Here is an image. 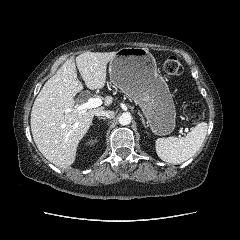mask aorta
I'll list each match as a JSON object with an SVG mask.
<instances>
[{
    "mask_svg": "<svg viewBox=\"0 0 240 240\" xmlns=\"http://www.w3.org/2000/svg\"><path fill=\"white\" fill-rule=\"evenodd\" d=\"M131 120H132L131 114L128 112L123 113L119 117V123L121 125H129L131 123Z\"/></svg>",
    "mask_w": 240,
    "mask_h": 240,
    "instance_id": "1",
    "label": "aorta"
}]
</instances>
